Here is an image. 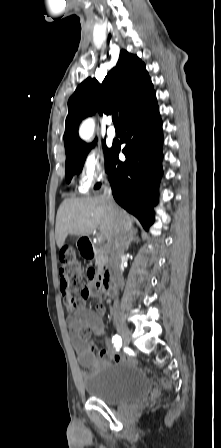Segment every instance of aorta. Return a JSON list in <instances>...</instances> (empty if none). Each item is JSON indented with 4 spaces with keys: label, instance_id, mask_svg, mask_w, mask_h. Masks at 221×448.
<instances>
[{
    "label": "aorta",
    "instance_id": "762f6f07",
    "mask_svg": "<svg viewBox=\"0 0 221 448\" xmlns=\"http://www.w3.org/2000/svg\"><path fill=\"white\" fill-rule=\"evenodd\" d=\"M93 129V125L91 121H85L80 128V135L82 138L86 139L90 136Z\"/></svg>",
    "mask_w": 221,
    "mask_h": 448
}]
</instances>
